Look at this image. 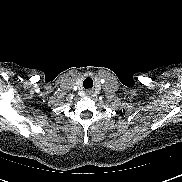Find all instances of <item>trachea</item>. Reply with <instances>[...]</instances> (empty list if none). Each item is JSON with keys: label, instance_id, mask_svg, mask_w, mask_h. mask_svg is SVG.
<instances>
[{"label": "trachea", "instance_id": "1", "mask_svg": "<svg viewBox=\"0 0 182 182\" xmlns=\"http://www.w3.org/2000/svg\"><path fill=\"white\" fill-rule=\"evenodd\" d=\"M83 86L85 89H90L93 87V80L90 77L85 78L83 81Z\"/></svg>", "mask_w": 182, "mask_h": 182}]
</instances>
